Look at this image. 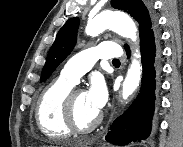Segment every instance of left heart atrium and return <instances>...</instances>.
Wrapping results in <instances>:
<instances>
[{
    "label": "left heart atrium",
    "mask_w": 183,
    "mask_h": 147,
    "mask_svg": "<svg viewBox=\"0 0 183 147\" xmlns=\"http://www.w3.org/2000/svg\"><path fill=\"white\" fill-rule=\"evenodd\" d=\"M86 96L92 107L99 112L107 101L108 94L105 82L101 78H93Z\"/></svg>",
    "instance_id": "left-heart-atrium-1"
}]
</instances>
